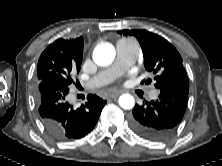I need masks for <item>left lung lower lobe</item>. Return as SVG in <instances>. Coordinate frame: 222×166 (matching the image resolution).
Returning <instances> with one entry per match:
<instances>
[{"instance_id": "left-lung-lower-lobe-1", "label": "left lung lower lobe", "mask_w": 222, "mask_h": 166, "mask_svg": "<svg viewBox=\"0 0 222 166\" xmlns=\"http://www.w3.org/2000/svg\"><path fill=\"white\" fill-rule=\"evenodd\" d=\"M189 87L168 84L160 88L159 99L135 105L130 125L139 136L162 141L173 135L186 110Z\"/></svg>"}]
</instances>
